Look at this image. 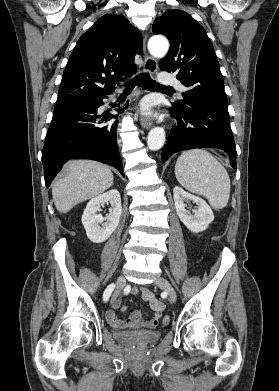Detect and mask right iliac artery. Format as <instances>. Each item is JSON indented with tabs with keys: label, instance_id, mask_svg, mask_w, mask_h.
I'll return each mask as SVG.
<instances>
[{
	"label": "right iliac artery",
	"instance_id": "82829eb1",
	"mask_svg": "<svg viewBox=\"0 0 279 391\" xmlns=\"http://www.w3.org/2000/svg\"><path fill=\"white\" fill-rule=\"evenodd\" d=\"M114 288H115V284L112 283V284H110V285L106 288V290L104 291L103 300H104L105 302L109 299V297H110L112 291L114 290Z\"/></svg>",
	"mask_w": 279,
	"mask_h": 391
}]
</instances>
